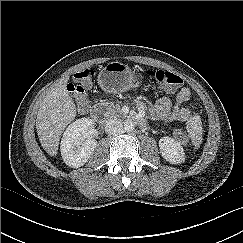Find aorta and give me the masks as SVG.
<instances>
[{
  "instance_id": "aorta-1",
  "label": "aorta",
  "mask_w": 243,
  "mask_h": 243,
  "mask_svg": "<svg viewBox=\"0 0 243 243\" xmlns=\"http://www.w3.org/2000/svg\"><path fill=\"white\" fill-rule=\"evenodd\" d=\"M123 127H124V130H125V131H127V132H131V131L134 130V128H135V124H134V122L128 120V121H126V122L124 123Z\"/></svg>"
}]
</instances>
